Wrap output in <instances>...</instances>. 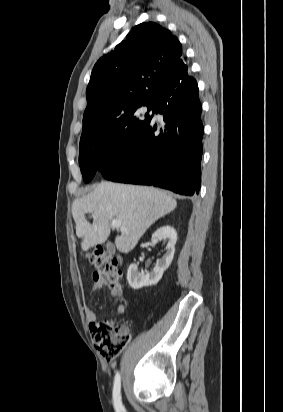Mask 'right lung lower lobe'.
Masks as SVG:
<instances>
[{
	"label": "right lung lower lobe",
	"instance_id": "obj_1",
	"mask_svg": "<svg viewBox=\"0 0 283 412\" xmlns=\"http://www.w3.org/2000/svg\"><path fill=\"white\" fill-rule=\"evenodd\" d=\"M196 80L188 76L168 88L153 116L129 151L99 171L112 181L154 185L179 194L198 193L204 126Z\"/></svg>",
	"mask_w": 283,
	"mask_h": 412
}]
</instances>
